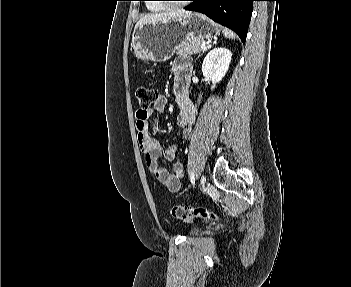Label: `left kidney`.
<instances>
[{
    "label": "left kidney",
    "instance_id": "1",
    "mask_svg": "<svg viewBox=\"0 0 351 287\" xmlns=\"http://www.w3.org/2000/svg\"><path fill=\"white\" fill-rule=\"evenodd\" d=\"M232 53L225 47L212 49L204 58L202 63V73L204 77L212 81L215 88L228 71Z\"/></svg>",
    "mask_w": 351,
    "mask_h": 287
}]
</instances>
